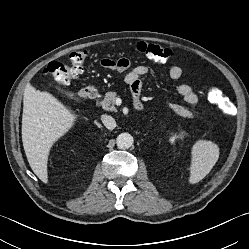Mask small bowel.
Here are the masks:
<instances>
[{"instance_id": "small-bowel-1", "label": "small bowel", "mask_w": 249, "mask_h": 249, "mask_svg": "<svg viewBox=\"0 0 249 249\" xmlns=\"http://www.w3.org/2000/svg\"><path fill=\"white\" fill-rule=\"evenodd\" d=\"M109 59H104L101 61L103 67L109 69H116L119 72H124L129 69L130 62L126 58H121L118 61L122 63L118 67L106 65V61ZM148 72L146 66H136L133 69L129 70L126 74V82L129 84L132 94L135 99H138L140 92L142 90V76ZM169 76L173 82H177L182 76V69L180 66H172L169 71ZM177 92L183 97L184 101L187 104L193 105L198 101V95L194 88L187 84H180L177 86Z\"/></svg>"}]
</instances>
